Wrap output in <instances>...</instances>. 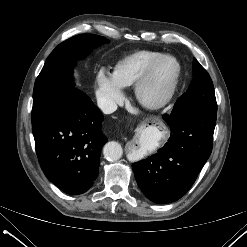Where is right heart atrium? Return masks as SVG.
<instances>
[{
    "instance_id": "right-heart-atrium-1",
    "label": "right heart atrium",
    "mask_w": 247,
    "mask_h": 247,
    "mask_svg": "<svg viewBox=\"0 0 247 247\" xmlns=\"http://www.w3.org/2000/svg\"><path fill=\"white\" fill-rule=\"evenodd\" d=\"M96 95L102 109L106 112L113 111L122 102L124 94L122 86L113 75L101 69L96 76Z\"/></svg>"
}]
</instances>
